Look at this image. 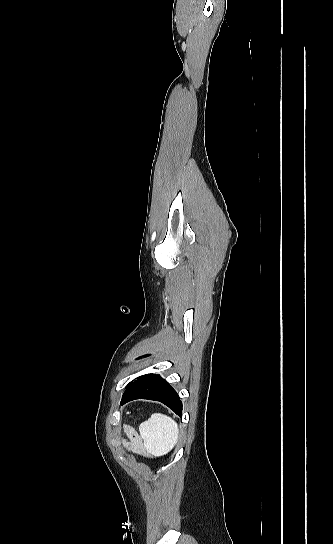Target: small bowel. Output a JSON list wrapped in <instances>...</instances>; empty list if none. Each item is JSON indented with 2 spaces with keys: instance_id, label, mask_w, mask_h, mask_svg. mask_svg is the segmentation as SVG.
Listing matches in <instances>:
<instances>
[{
  "instance_id": "small-bowel-1",
  "label": "small bowel",
  "mask_w": 333,
  "mask_h": 544,
  "mask_svg": "<svg viewBox=\"0 0 333 544\" xmlns=\"http://www.w3.org/2000/svg\"><path fill=\"white\" fill-rule=\"evenodd\" d=\"M127 435L130 440V448L137 454L147 455V450L139 434L135 430L128 428Z\"/></svg>"
}]
</instances>
